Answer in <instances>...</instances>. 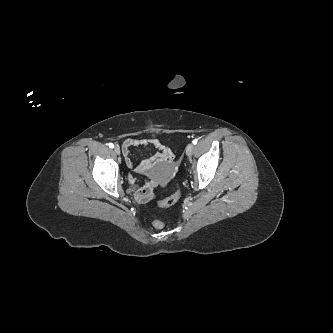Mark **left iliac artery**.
<instances>
[{
  "label": "left iliac artery",
  "mask_w": 333,
  "mask_h": 333,
  "mask_svg": "<svg viewBox=\"0 0 333 333\" xmlns=\"http://www.w3.org/2000/svg\"><path fill=\"white\" fill-rule=\"evenodd\" d=\"M197 142H198V140H197V139H194V140H193V144H194V145H196V144H197Z\"/></svg>",
  "instance_id": "left-iliac-artery-1"
}]
</instances>
